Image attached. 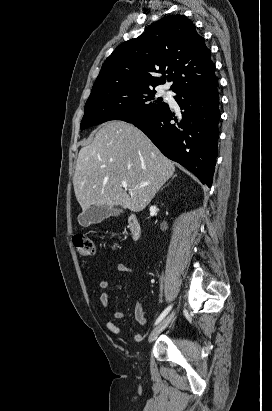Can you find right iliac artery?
<instances>
[{"instance_id":"right-iliac-artery-1","label":"right iliac artery","mask_w":272,"mask_h":411,"mask_svg":"<svg viewBox=\"0 0 272 411\" xmlns=\"http://www.w3.org/2000/svg\"><path fill=\"white\" fill-rule=\"evenodd\" d=\"M172 305L168 306L161 314L160 316L157 318L155 325L159 324L163 318L169 313V311L171 310Z\"/></svg>"}]
</instances>
